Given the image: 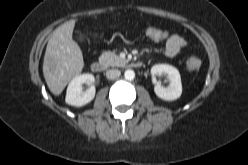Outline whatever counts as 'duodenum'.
<instances>
[{"label":"duodenum","mask_w":248,"mask_h":165,"mask_svg":"<svg viewBox=\"0 0 248 165\" xmlns=\"http://www.w3.org/2000/svg\"><path fill=\"white\" fill-rule=\"evenodd\" d=\"M133 67L138 68L141 67L142 63L141 62H133L131 64ZM91 70L95 73H101L105 69V63L102 60H94L91 63Z\"/></svg>","instance_id":"410a0bca"}]
</instances>
